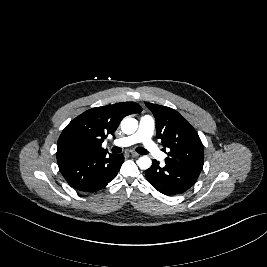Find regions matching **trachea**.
Masks as SVG:
<instances>
[{"mask_svg": "<svg viewBox=\"0 0 267 267\" xmlns=\"http://www.w3.org/2000/svg\"><path fill=\"white\" fill-rule=\"evenodd\" d=\"M136 151H137L139 154H142V155H146V154H148L147 150L144 149L143 147H137V148H136ZM112 152H113V153H120V152H121V148H119V147H113V148H112Z\"/></svg>", "mask_w": 267, "mask_h": 267, "instance_id": "obj_1", "label": "trachea"}]
</instances>
